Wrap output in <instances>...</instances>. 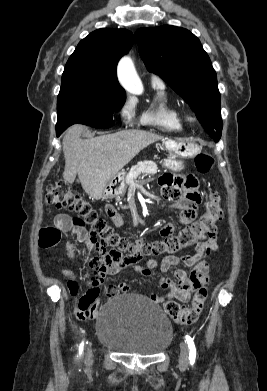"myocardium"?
Returning a JSON list of instances; mask_svg holds the SVG:
<instances>
[{"instance_id": "obj_1", "label": "myocardium", "mask_w": 267, "mask_h": 391, "mask_svg": "<svg viewBox=\"0 0 267 391\" xmlns=\"http://www.w3.org/2000/svg\"><path fill=\"white\" fill-rule=\"evenodd\" d=\"M187 120L191 123L197 122V118L191 115L187 116Z\"/></svg>"}]
</instances>
